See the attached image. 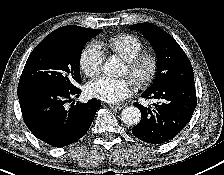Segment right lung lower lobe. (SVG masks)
Returning a JSON list of instances; mask_svg holds the SVG:
<instances>
[{
  "mask_svg": "<svg viewBox=\"0 0 224 175\" xmlns=\"http://www.w3.org/2000/svg\"><path fill=\"white\" fill-rule=\"evenodd\" d=\"M79 94L81 90L77 87L67 90L41 83L18 85L26 126L37 138L54 147L76 142L86 134L101 106L97 99L75 104L72 97Z\"/></svg>",
  "mask_w": 224,
  "mask_h": 175,
  "instance_id": "98d812e1",
  "label": "right lung lower lobe"
}]
</instances>
